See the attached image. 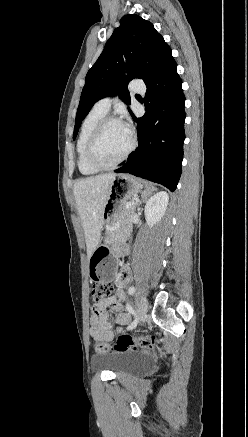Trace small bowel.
I'll use <instances>...</instances> for the list:
<instances>
[{
  "label": "small bowel",
  "instance_id": "obj_1",
  "mask_svg": "<svg viewBox=\"0 0 248 437\" xmlns=\"http://www.w3.org/2000/svg\"><path fill=\"white\" fill-rule=\"evenodd\" d=\"M128 278L129 270L123 268L119 273L115 296L94 305L93 313L90 318L89 334L95 340L108 342L114 338L113 326L109 320V313L107 312L109 307H112L116 312L114 324L118 329H121V327L128 323L129 315L121 311V307L125 302L123 289Z\"/></svg>",
  "mask_w": 248,
  "mask_h": 437
}]
</instances>
